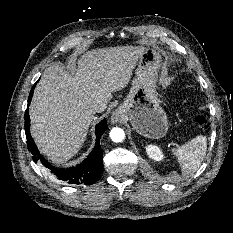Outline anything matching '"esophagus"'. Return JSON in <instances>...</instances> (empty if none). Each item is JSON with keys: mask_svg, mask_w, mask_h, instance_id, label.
I'll list each match as a JSON object with an SVG mask.
<instances>
[{"mask_svg": "<svg viewBox=\"0 0 233 233\" xmlns=\"http://www.w3.org/2000/svg\"><path fill=\"white\" fill-rule=\"evenodd\" d=\"M112 120H115V121H117V120H118V117H117V115H113V116H112Z\"/></svg>", "mask_w": 233, "mask_h": 233, "instance_id": "obj_1", "label": "esophagus"}]
</instances>
